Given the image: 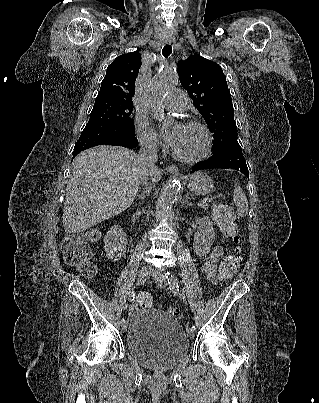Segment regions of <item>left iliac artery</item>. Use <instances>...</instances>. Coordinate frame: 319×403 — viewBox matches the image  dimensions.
<instances>
[{
    "instance_id": "left-iliac-artery-1",
    "label": "left iliac artery",
    "mask_w": 319,
    "mask_h": 403,
    "mask_svg": "<svg viewBox=\"0 0 319 403\" xmlns=\"http://www.w3.org/2000/svg\"><path fill=\"white\" fill-rule=\"evenodd\" d=\"M168 284H169V289L174 293V294H180L179 293V285H178V281L177 278L174 274H172L171 272L167 271V273L165 274ZM191 330L195 331L196 328L193 325L191 328Z\"/></svg>"
}]
</instances>
